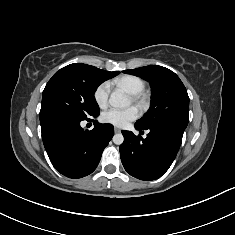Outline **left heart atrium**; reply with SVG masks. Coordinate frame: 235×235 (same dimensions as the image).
I'll return each instance as SVG.
<instances>
[{
  "instance_id": "39dd6f15",
  "label": "left heart atrium",
  "mask_w": 235,
  "mask_h": 235,
  "mask_svg": "<svg viewBox=\"0 0 235 235\" xmlns=\"http://www.w3.org/2000/svg\"><path fill=\"white\" fill-rule=\"evenodd\" d=\"M138 116L139 111L135 107H112L103 112L102 120L114 126L124 127L128 125L131 121L137 119Z\"/></svg>"
}]
</instances>
